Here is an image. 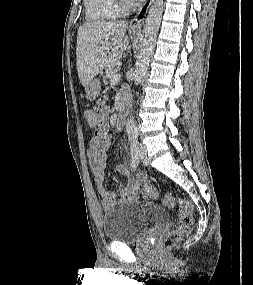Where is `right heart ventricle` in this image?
Masks as SVG:
<instances>
[{"label":"right heart ventricle","instance_id":"right-heart-ventricle-1","mask_svg":"<svg viewBox=\"0 0 253 285\" xmlns=\"http://www.w3.org/2000/svg\"><path fill=\"white\" fill-rule=\"evenodd\" d=\"M84 7L86 18L94 22L113 20L123 13L116 0H84Z\"/></svg>","mask_w":253,"mask_h":285}]
</instances>
